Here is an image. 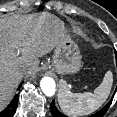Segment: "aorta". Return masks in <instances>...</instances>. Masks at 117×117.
I'll list each match as a JSON object with an SVG mask.
<instances>
[{
	"instance_id": "762f6f07",
	"label": "aorta",
	"mask_w": 117,
	"mask_h": 117,
	"mask_svg": "<svg viewBox=\"0 0 117 117\" xmlns=\"http://www.w3.org/2000/svg\"><path fill=\"white\" fill-rule=\"evenodd\" d=\"M40 87L43 93L48 97H51L55 94L56 85L54 79L51 77H43L40 81Z\"/></svg>"
}]
</instances>
